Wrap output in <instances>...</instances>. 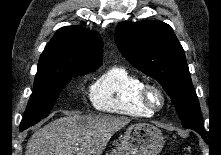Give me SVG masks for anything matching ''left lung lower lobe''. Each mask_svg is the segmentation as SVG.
Listing matches in <instances>:
<instances>
[{
	"label": "left lung lower lobe",
	"mask_w": 221,
	"mask_h": 155,
	"mask_svg": "<svg viewBox=\"0 0 221 155\" xmlns=\"http://www.w3.org/2000/svg\"><path fill=\"white\" fill-rule=\"evenodd\" d=\"M195 131L198 132V133L202 136V138H203L204 140H206V136H205V134H204V132H203L202 129H195Z\"/></svg>",
	"instance_id": "obj_1"
}]
</instances>
